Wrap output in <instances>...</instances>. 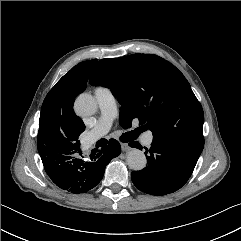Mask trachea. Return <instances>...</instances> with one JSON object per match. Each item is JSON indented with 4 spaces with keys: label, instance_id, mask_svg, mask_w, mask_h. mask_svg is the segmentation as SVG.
Instances as JSON below:
<instances>
[{
    "label": "trachea",
    "instance_id": "trachea-1",
    "mask_svg": "<svg viewBox=\"0 0 241 241\" xmlns=\"http://www.w3.org/2000/svg\"><path fill=\"white\" fill-rule=\"evenodd\" d=\"M136 136L134 135H130L128 138H127V141H131V140H134ZM122 141H126L124 140L123 138H121Z\"/></svg>",
    "mask_w": 241,
    "mask_h": 241
}]
</instances>
